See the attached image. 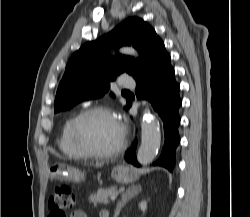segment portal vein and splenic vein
I'll use <instances>...</instances> for the list:
<instances>
[{"label": "portal vein and splenic vein", "instance_id": "18ae733b", "mask_svg": "<svg viewBox=\"0 0 250 217\" xmlns=\"http://www.w3.org/2000/svg\"><path fill=\"white\" fill-rule=\"evenodd\" d=\"M116 197H117V194H113V195L110 197V199L113 201V200L116 199Z\"/></svg>", "mask_w": 250, "mask_h": 217}]
</instances>
